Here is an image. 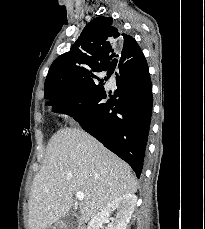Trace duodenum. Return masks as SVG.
I'll use <instances>...</instances> for the list:
<instances>
[{
	"instance_id": "1",
	"label": "duodenum",
	"mask_w": 205,
	"mask_h": 229,
	"mask_svg": "<svg viewBox=\"0 0 205 229\" xmlns=\"http://www.w3.org/2000/svg\"><path fill=\"white\" fill-rule=\"evenodd\" d=\"M75 229H86L84 226H80L78 228H75Z\"/></svg>"
}]
</instances>
